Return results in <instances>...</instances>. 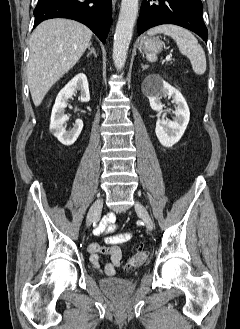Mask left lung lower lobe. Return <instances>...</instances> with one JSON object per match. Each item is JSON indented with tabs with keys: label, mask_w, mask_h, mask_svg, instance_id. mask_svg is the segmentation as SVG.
Wrapping results in <instances>:
<instances>
[{
	"label": "left lung lower lobe",
	"mask_w": 240,
	"mask_h": 329,
	"mask_svg": "<svg viewBox=\"0 0 240 329\" xmlns=\"http://www.w3.org/2000/svg\"><path fill=\"white\" fill-rule=\"evenodd\" d=\"M202 12L201 0H158L155 3L145 0L137 23L138 35L161 24H175L195 32L207 42L208 31Z\"/></svg>",
	"instance_id": "obj_1"
}]
</instances>
